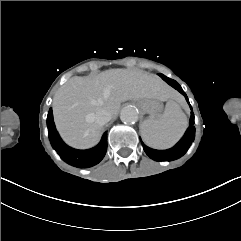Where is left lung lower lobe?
Listing matches in <instances>:
<instances>
[{
  "mask_svg": "<svg viewBox=\"0 0 241 241\" xmlns=\"http://www.w3.org/2000/svg\"><path fill=\"white\" fill-rule=\"evenodd\" d=\"M159 76L166 81L169 85H171L173 88L178 90L181 94L184 95L186 98L190 108L192 109L188 97L181 88V86L173 79H170L163 74H159ZM194 124V114L191 112V118H190V123H189V128L187 129L186 133L182 137V139L172 148L166 149V150H156L152 149L146 145H143V149L146 152V154L153 160L155 161H171L174 159H177L181 157L189 148L191 145L192 141L194 140L195 137V127L193 126Z\"/></svg>",
  "mask_w": 241,
  "mask_h": 241,
  "instance_id": "obj_1",
  "label": "left lung lower lobe"
}]
</instances>
